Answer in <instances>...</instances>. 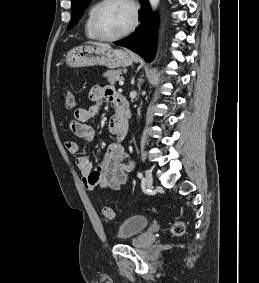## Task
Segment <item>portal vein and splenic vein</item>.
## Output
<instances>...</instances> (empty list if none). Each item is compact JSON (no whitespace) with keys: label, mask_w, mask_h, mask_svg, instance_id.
I'll return each mask as SVG.
<instances>
[{"label":"portal vein and splenic vein","mask_w":259,"mask_h":283,"mask_svg":"<svg viewBox=\"0 0 259 283\" xmlns=\"http://www.w3.org/2000/svg\"><path fill=\"white\" fill-rule=\"evenodd\" d=\"M124 84V79L123 78H120L119 79V85H123Z\"/></svg>","instance_id":"portal-vein-and-splenic-vein-1"}]
</instances>
